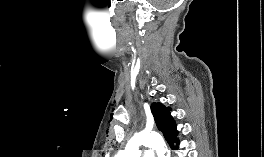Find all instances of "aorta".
I'll return each instance as SVG.
<instances>
[{
  "mask_svg": "<svg viewBox=\"0 0 264 157\" xmlns=\"http://www.w3.org/2000/svg\"><path fill=\"white\" fill-rule=\"evenodd\" d=\"M141 146H148L157 151L158 157H167L168 149L164 140L155 133H139L127 143L117 157H140Z\"/></svg>",
  "mask_w": 264,
  "mask_h": 157,
  "instance_id": "obj_1",
  "label": "aorta"
}]
</instances>
